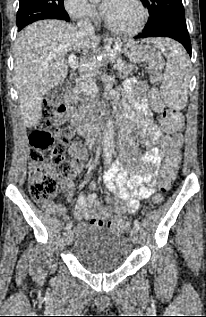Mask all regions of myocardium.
Instances as JSON below:
<instances>
[{
  "label": "myocardium",
  "mask_w": 206,
  "mask_h": 317,
  "mask_svg": "<svg viewBox=\"0 0 206 317\" xmlns=\"http://www.w3.org/2000/svg\"><path fill=\"white\" fill-rule=\"evenodd\" d=\"M140 10L141 13V18L138 22V24L130 29H124V28H119L112 24L106 15L103 13L102 18L105 23V26L112 32L122 35V36H132L135 34H138L140 31H142L148 21L149 18V12L144 3L141 0H131Z\"/></svg>",
  "instance_id": "obj_1"
}]
</instances>
